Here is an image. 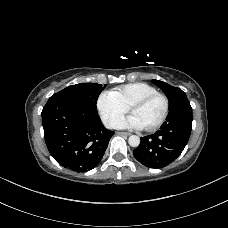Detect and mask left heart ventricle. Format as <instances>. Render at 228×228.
I'll return each mask as SVG.
<instances>
[{"label": "left heart ventricle", "mask_w": 228, "mask_h": 228, "mask_svg": "<svg viewBox=\"0 0 228 228\" xmlns=\"http://www.w3.org/2000/svg\"><path fill=\"white\" fill-rule=\"evenodd\" d=\"M163 108V100L157 97L147 104L135 108L131 114L137 118L143 128H147L158 121L162 115Z\"/></svg>", "instance_id": "left-heart-ventricle-1"}]
</instances>
